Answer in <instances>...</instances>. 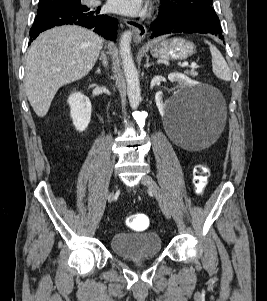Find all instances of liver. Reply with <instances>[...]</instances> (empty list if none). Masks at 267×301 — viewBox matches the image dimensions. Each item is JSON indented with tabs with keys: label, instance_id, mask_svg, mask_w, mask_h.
Instances as JSON below:
<instances>
[{
	"label": "liver",
	"instance_id": "obj_1",
	"mask_svg": "<svg viewBox=\"0 0 267 301\" xmlns=\"http://www.w3.org/2000/svg\"><path fill=\"white\" fill-rule=\"evenodd\" d=\"M102 38L91 30L52 28L31 44L25 63V90L38 117H44L62 86L85 77L97 61Z\"/></svg>",
	"mask_w": 267,
	"mask_h": 301
}]
</instances>
